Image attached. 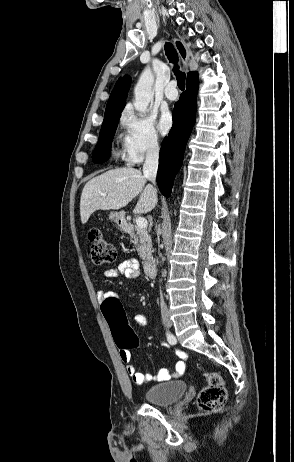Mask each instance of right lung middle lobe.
Instances as JSON below:
<instances>
[{"label":"right lung middle lobe","mask_w":294,"mask_h":462,"mask_svg":"<svg viewBox=\"0 0 294 462\" xmlns=\"http://www.w3.org/2000/svg\"><path fill=\"white\" fill-rule=\"evenodd\" d=\"M120 114L104 118L98 143L92 155L95 163H102L108 160L109 152L111 150L112 140L110 137L115 133Z\"/></svg>","instance_id":"1"}]
</instances>
